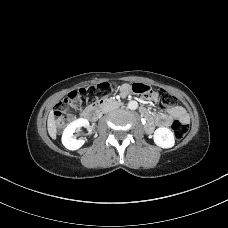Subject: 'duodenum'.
<instances>
[{
  "instance_id": "410a0bca",
  "label": "duodenum",
  "mask_w": 228,
  "mask_h": 228,
  "mask_svg": "<svg viewBox=\"0 0 228 228\" xmlns=\"http://www.w3.org/2000/svg\"><path fill=\"white\" fill-rule=\"evenodd\" d=\"M120 105L121 103L116 99H112V98L103 99L97 102L96 104L86 108L83 111L82 116L84 119L95 121L100 117L102 110L104 108L108 106H120ZM145 118H146L145 126L149 130H153L154 127L158 126V124L160 123L157 117L147 115Z\"/></svg>"
}]
</instances>
